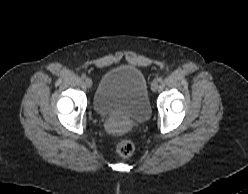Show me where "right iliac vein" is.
<instances>
[{"mask_svg":"<svg viewBox=\"0 0 248 194\" xmlns=\"http://www.w3.org/2000/svg\"><path fill=\"white\" fill-rule=\"evenodd\" d=\"M85 84L87 87H91L92 86V80L90 78H86L85 79Z\"/></svg>","mask_w":248,"mask_h":194,"instance_id":"obj_1","label":"right iliac vein"}]
</instances>
